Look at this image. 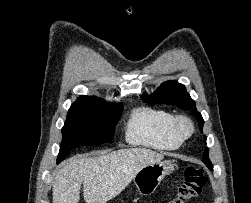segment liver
Masks as SVG:
<instances>
[{"mask_svg":"<svg viewBox=\"0 0 251 203\" xmlns=\"http://www.w3.org/2000/svg\"><path fill=\"white\" fill-rule=\"evenodd\" d=\"M163 158L146 148L121 149L92 158L74 156L55 174L53 203H78L82 184L86 203H107L139 170Z\"/></svg>","mask_w":251,"mask_h":203,"instance_id":"obj_1","label":"liver"}]
</instances>
